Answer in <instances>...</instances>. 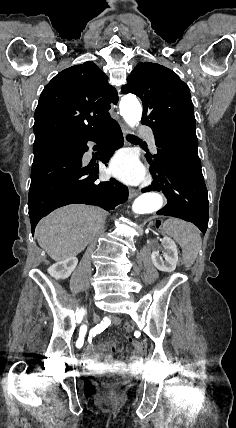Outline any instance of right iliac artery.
<instances>
[{
    "mask_svg": "<svg viewBox=\"0 0 236 428\" xmlns=\"http://www.w3.org/2000/svg\"><path fill=\"white\" fill-rule=\"evenodd\" d=\"M86 332H87V326L86 325H82L80 327L79 338H78V340L76 342V347L77 348H81L83 346L84 336H85Z\"/></svg>",
    "mask_w": 236,
    "mask_h": 428,
    "instance_id": "right-iliac-artery-1",
    "label": "right iliac artery"
}]
</instances>
